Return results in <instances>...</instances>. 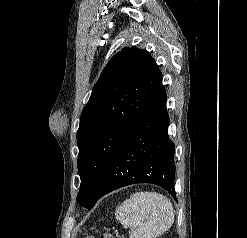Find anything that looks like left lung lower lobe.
<instances>
[{
  "instance_id": "1",
  "label": "left lung lower lobe",
  "mask_w": 247,
  "mask_h": 238,
  "mask_svg": "<svg viewBox=\"0 0 247 238\" xmlns=\"http://www.w3.org/2000/svg\"><path fill=\"white\" fill-rule=\"evenodd\" d=\"M168 124L166 91L160 87L150 107L110 163L100 185L98 199L136 183L158 185L176 198L175 146L167 135Z\"/></svg>"
}]
</instances>
